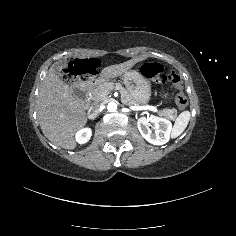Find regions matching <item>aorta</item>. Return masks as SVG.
Listing matches in <instances>:
<instances>
[{
    "label": "aorta",
    "instance_id": "762f6f07",
    "mask_svg": "<svg viewBox=\"0 0 236 236\" xmlns=\"http://www.w3.org/2000/svg\"><path fill=\"white\" fill-rule=\"evenodd\" d=\"M107 109L109 112H115L117 110V104L115 102H110L107 105Z\"/></svg>",
    "mask_w": 236,
    "mask_h": 236
}]
</instances>
